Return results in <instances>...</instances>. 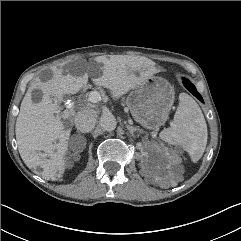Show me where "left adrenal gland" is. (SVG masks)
I'll return each mask as SVG.
<instances>
[{"mask_svg":"<svg viewBox=\"0 0 241 241\" xmlns=\"http://www.w3.org/2000/svg\"><path fill=\"white\" fill-rule=\"evenodd\" d=\"M127 129L130 131V133H131L132 135L134 134V132L140 131L138 128L133 127V126H130V125H127Z\"/></svg>","mask_w":241,"mask_h":241,"instance_id":"a2214340","label":"left adrenal gland"}]
</instances>
